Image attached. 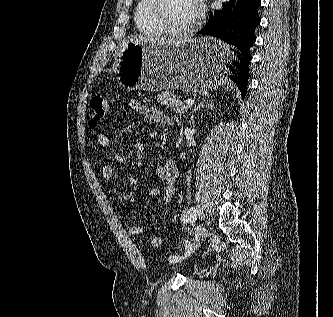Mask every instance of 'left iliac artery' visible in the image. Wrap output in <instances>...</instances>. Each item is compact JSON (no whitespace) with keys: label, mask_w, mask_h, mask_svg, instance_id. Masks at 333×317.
Returning <instances> with one entry per match:
<instances>
[{"label":"left iliac artery","mask_w":333,"mask_h":317,"mask_svg":"<svg viewBox=\"0 0 333 317\" xmlns=\"http://www.w3.org/2000/svg\"><path fill=\"white\" fill-rule=\"evenodd\" d=\"M198 214H199V208L195 207V206L191 207L186 212L185 216L183 217V219H182L183 223H187L191 220L196 219ZM185 249H186V252H185L184 256L180 257V256L173 255V256L169 257V261L172 262V263H176V262L181 261V259H184L187 256H189L191 254V250H192V245L190 244V242L185 241Z\"/></svg>","instance_id":"44dca946"}]
</instances>
